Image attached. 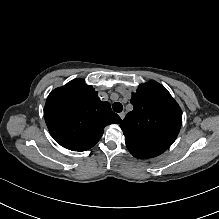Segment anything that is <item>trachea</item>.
Here are the masks:
<instances>
[{
  "label": "trachea",
  "instance_id": "trachea-1",
  "mask_svg": "<svg viewBox=\"0 0 219 219\" xmlns=\"http://www.w3.org/2000/svg\"><path fill=\"white\" fill-rule=\"evenodd\" d=\"M112 108H113V111L120 113L123 110V105L120 102H115Z\"/></svg>",
  "mask_w": 219,
  "mask_h": 219
}]
</instances>
